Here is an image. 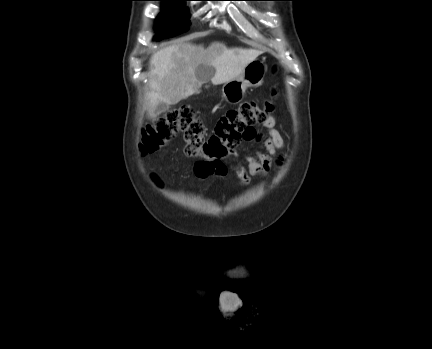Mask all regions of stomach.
<instances>
[{"mask_svg": "<svg viewBox=\"0 0 432 349\" xmlns=\"http://www.w3.org/2000/svg\"><path fill=\"white\" fill-rule=\"evenodd\" d=\"M266 71L267 66L263 61L253 60L245 67L241 75L223 84L224 99L231 104L240 103L248 87H257L262 84Z\"/></svg>", "mask_w": 432, "mask_h": 349, "instance_id": "stomach-1", "label": "stomach"}]
</instances>
